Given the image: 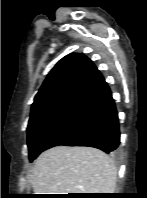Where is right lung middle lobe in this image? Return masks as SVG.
Instances as JSON below:
<instances>
[{
  "instance_id": "1",
  "label": "right lung middle lobe",
  "mask_w": 147,
  "mask_h": 198,
  "mask_svg": "<svg viewBox=\"0 0 147 198\" xmlns=\"http://www.w3.org/2000/svg\"><path fill=\"white\" fill-rule=\"evenodd\" d=\"M73 105L71 103H57L31 112L27 128L30 161L36 157L41 142L70 111Z\"/></svg>"
}]
</instances>
